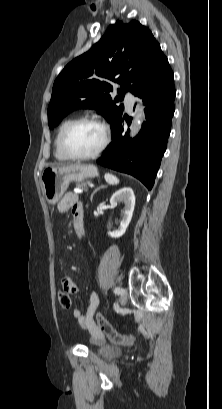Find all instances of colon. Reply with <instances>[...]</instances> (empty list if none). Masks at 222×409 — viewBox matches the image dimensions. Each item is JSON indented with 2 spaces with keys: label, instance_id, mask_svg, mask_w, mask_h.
I'll return each instance as SVG.
<instances>
[{
  "label": "colon",
  "instance_id": "5ec220e1",
  "mask_svg": "<svg viewBox=\"0 0 222 409\" xmlns=\"http://www.w3.org/2000/svg\"><path fill=\"white\" fill-rule=\"evenodd\" d=\"M70 287H64L58 292L59 305L64 309L71 307V296L69 295ZM97 320L101 329L106 333L108 339L116 344H129L136 340L135 335H121L108 322V320L101 314H97Z\"/></svg>",
  "mask_w": 222,
  "mask_h": 409
}]
</instances>
